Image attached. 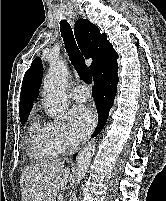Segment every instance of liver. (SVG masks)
Instances as JSON below:
<instances>
[{
    "label": "liver",
    "instance_id": "liver-1",
    "mask_svg": "<svg viewBox=\"0 0 166 201\" xmlns=\"http://www.w3.org/2000/svg\"><path fill=\"white\" fill-rule=\"evenodd\" d=\"M70 168L64 161H42L24 168L20 185L22 201H55L67 188Z\"/></svg>",
    "mask_w": 166,
    "mask_h": 201
}]
</instances>
